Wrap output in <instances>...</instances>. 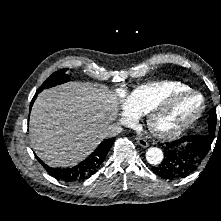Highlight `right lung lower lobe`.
<instances>
[{
	"label": "right lung lower lobe",
	"instance_id": "98d812e1",
	"mask_svg": "<svg viewBox=\"0 0 221 221\" xmlns=\"http://www.w3.org/2000/svg\"><path fill=\"white\" fill-rule=\"evenodd\" d=\"M39 92L41 91H39L38 89L30 104V110ZM112 144H113V139L104 140L103 142L100 143V145L95 149V151L91 155H89L80 164L72 168L49 167L46 166L37 156L36 158L46 168V171L54 178L65 182H76V181L85 180L86 178L90 177L97 171L99 166L104 161Z\"/></svg>",
	"mask_w": 221,
	"mask_h": 221
}]
</instances>
